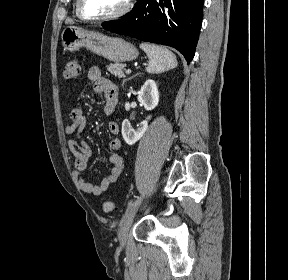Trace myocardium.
Instances as JSON below:
<instances>
[{"mask_svg": "<svg viewBox=\"0 0 288 280\" xmlns=\"http://www.w3.org/2000/svg\"><path fill=\"white\" fill-rule=\"evenodd\" d=\"M132 6V0H125L124 5L120 10L117 12L103 16V17H89L84 14L83 9H82V0H76V13L77 15L84 21L88 22H108V21H113L122 18L125 16L131 9Z\"/></svg>", "mask_w": 288, "mask_h": 280, "instance_id": "1", "label": "myocardium"}]
</instances>
